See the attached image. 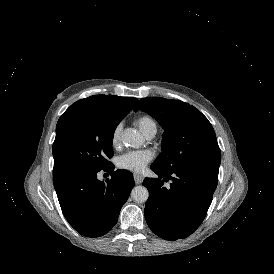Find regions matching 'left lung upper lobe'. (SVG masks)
Listing matches in <instances>:
<instances>
[{
	"label": "left lung upper lobe",
	"mask_w": 274,
	"mask_h": 274,
	"mask_svg": "<svg viewBox=\"0 0 274 274\" xmlns=\"http://www.w3.org/2000/svg\"><path fill=\"white\" fill-rule=\"evenodd\" d=\"M144 111L164 129L162 152L153 165L163 170L207 167L219 170L221 152L208 119L194 106L161 97L140 99L134 111Z\"/></svg>",
	"instance_id": "obj_1"
}]
</instances>
